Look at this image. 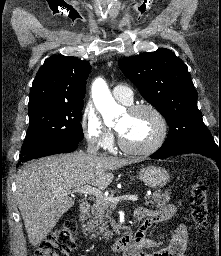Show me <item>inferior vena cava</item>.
Returning <instances> with one entry per match:
<instances>
[{
    "mask_svg": "<svg viewBox=\"0 0 221 256\" xmlns=\"http://www.w3.org/2000/svg\"><path fill=\"white\" fill-rule=\"evenodd\" d=\"M87 153L89 155H97L98 154V147L95 145L94 142H90L87 148Z\"/></svg>",
    "mask_w": 221,
    "mask_h": 256,
    "instance_id": "1",
    "label": "inferior vena cava"
}]
</instances>
